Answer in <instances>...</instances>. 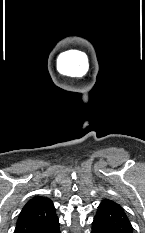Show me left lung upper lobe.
Returning <instances> with one entry per match:
<instances>
[{
  "label": "left lung upper lobe",
  "instance_id": "obj_1",
  "mask_svg": "<svg viewBox=\"0 0 145 233\" xmlns=\"http://www.w3.org/2000/svg\"><path fill=\"white\" fill-rule=\"evenodd\" d=\"M94 220L112 233H133V227L124 209L112 200L104 199L101 202Z\"/></svg>",
  "mask_w": 145,
  "mask_h": 233
}]
</instances>
